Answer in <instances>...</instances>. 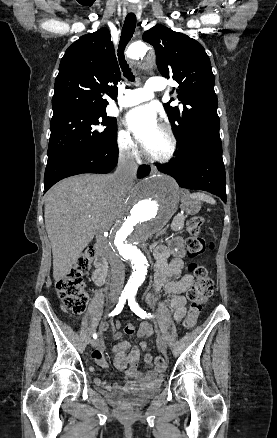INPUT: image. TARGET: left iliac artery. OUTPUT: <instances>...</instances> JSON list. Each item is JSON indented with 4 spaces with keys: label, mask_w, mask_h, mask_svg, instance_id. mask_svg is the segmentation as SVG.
Here are the masks:
<instances>
[{
    "label": "left iliac artery",
    "mask_w": 277,
    "mask_h": 438,
    "mask_svg": "<svg viewBox=\"0 0 277 438\" xmlns=\"http://www.w3.org/2000/svg\"><path fill=\"white\" fill-rule=\"evenodd\" d=\"M128 305L130 309L139 317L145 319V318H152L154 315L151 313H147L143 309H141L138 305V303L135 301V295H129L128 296Z\"/></svg>",
    "instance_id": "44dca946"
}]
</instances>
